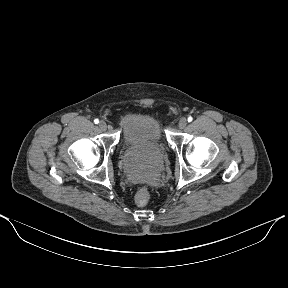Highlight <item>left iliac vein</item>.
Returning <instances> with one entry per match:
<instances>
[{"instance_id": "obj_1", "label": "left iliac vein", "mask_w": 288, "mask_h": 288, "mask_svg": "<svg viewBox=\"0 0 288 288\" xmlns=\"http://www.w3.org/2000/svg\"><path fill=\"white\" fill-rule=\"evenodd\" d=\"M187 125V119L182 117L180 118L179 122H178V126L180 129H184Z\"/></svg>"}]
</instances>
